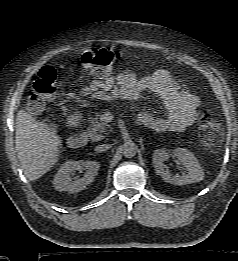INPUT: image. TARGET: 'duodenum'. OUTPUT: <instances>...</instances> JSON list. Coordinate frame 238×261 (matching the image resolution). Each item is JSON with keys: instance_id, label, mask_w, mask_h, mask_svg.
Masks as SVG:
<instances>
[{"instance_id": "obj_1", "label": "duodenum", "mask_w": 238, "mask_h": 261, "mask_svg": "<svg viewBox=\"0 0 238 261\" xmlns=\"http://www.w3.org/2000/svg\"><path fill=\"white\" fill-rule=\"evenodd\" d=\"M79 117L73 116L70 119V123L74 126L79 124ZM88 136L85 132H79L69 137L68 144L72 148H80L87 144Z\"/></svg>"}]
</instances>
